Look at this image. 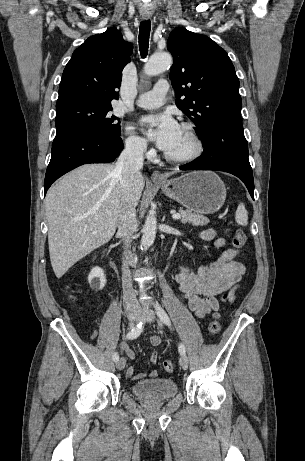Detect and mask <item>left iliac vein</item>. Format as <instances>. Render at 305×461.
Here are the masks:
<instances>
[{"mask_svg": "<svg viewBox=\"0 0 305 461\" xmlns=\"http://www.w3.org/2000/svg\"><path fill=\"white\" fill-rule=\"evenodd\" d=\"M139 318L151 323L155 318V313L148 308H145L144 311L139 312ZM180 365L184 370L188 368V358L185 354L180 357Z\"/></svg>", "mask_w": 305, "mask_h": 461, "instance_id": "obj_1", "label": "left iliac vein"}]
</instances>
